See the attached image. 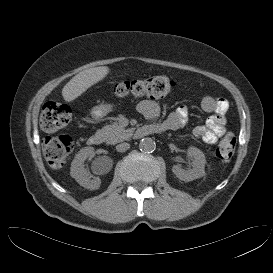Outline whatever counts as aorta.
Segmentation results:
<instances>
[{
    "mask_svg": "<svg viewBox=\"0 0 273 273\" xmlns=\"http://www.w3.org/2000/svg\"><path fill=\"white\" fill-rule=\"evenodd\" d=\"M155 148H156L155 141L149 137L143 138L139 143V149L145 153L153 152Z\"/></svg>",
    "mask_w": 273,
    "mask_h": 273,
    "instance_id": "762f6f07",
    "label": "aorta"
}]
</instances>
